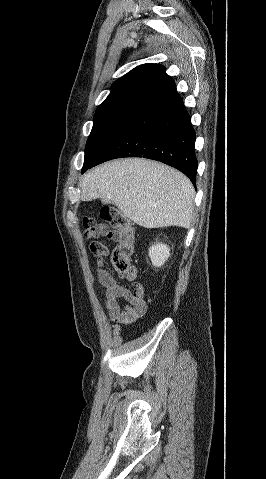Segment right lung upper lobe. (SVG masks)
Wrapping results in <instances>:
<instances>
[{
  "label": "right lung upper lobe",
  "instance_id": "right-lung-upper-lobe-1",
  "mask_svg": "<svg viewBox=\"0 0 266 479\" xmlns=\"http://www.w3.org/2000/svg\"><path fill=\"white\" fill-rule=\"evenodd\" d=\"M174 89L175 82L162 65L142 64L112 84L111 93L95 115L125 110L139 112Z\"/></svg>",
  "mask_w": 266,
  "mask_h": 479
}]
</instances>
